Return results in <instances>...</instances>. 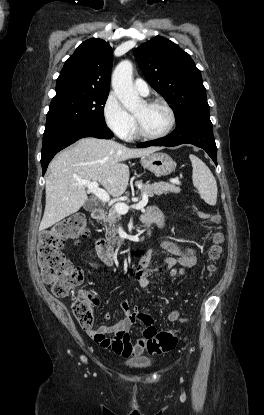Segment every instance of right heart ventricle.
I'll return each mask as SVG.
<instances>
[{
	"mask_svg": "<svg viewBox=\"0 0 264 415\" xmlns=\"http://www.w3.org/2000/svg\"><path fill=\"white\" fill-rule=\"evenodd\" d=\"M134 137V134L131 135V137L129 139H132Z\"/></svg>",
	"mask_w": 264,
	"mask_h": 415,
	"instance_id": "1",
	"label": "right heart ventricle"
}]
</instances>
